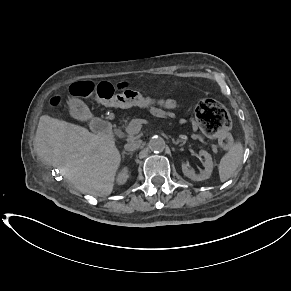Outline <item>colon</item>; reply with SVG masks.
I'll use <instances>...</instances> for the list:
<instances>
[{
  "instance_id": "obj_1",
  "label": "colon",
  "mask_w": 291,
  "mask_h": 291,
  "mask_svg": "<svg viewBox=\"0 0 291 291\" xmlns=\"http://www.w3.org/2000/svg\"><path fill=\"white\" fill-rule=\"evenodd\" d=\"M70 93L78 98H93L97 102L112 106H147L151 99L129 90L125 84H112L110 82H78L70 86ZM62 98L55 96L50 105H61ZM156 112H174L178 108L177 97H156L154 99ZM197 122L204 134L218 139L219 144L228 149L233 144L229 133L231 126L230 116L225 107L214 99L201 100L195 109Z\"/></svg>"
}]
</instances>
